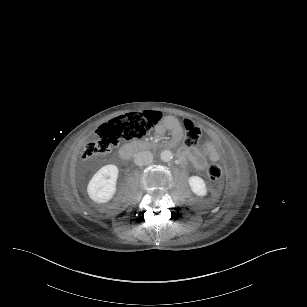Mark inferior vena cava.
<instances>
[{"mask_svg":"<svg viewBox=\"0 0 307 307\" xmlns=\"http://www.w3.org/2000/svg\"><path fill=\"white\" fill-rule=\"evenodd\" d=\"M153 160V155L149 151H141L135 154L134 163L137 166L149 165Z\"/></svg>","mask_w":307,"mask_h":307,"instance_id":"602c4592","label":"inferior vena cava"}]
</instances>
